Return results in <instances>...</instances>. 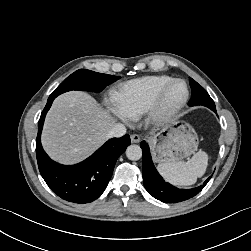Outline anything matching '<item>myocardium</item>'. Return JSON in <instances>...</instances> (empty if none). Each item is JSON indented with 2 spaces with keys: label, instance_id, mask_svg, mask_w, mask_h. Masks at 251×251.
<instances>
[{
  "label": "myocardium",
  "instance_id": "obj_1",
  "mask_svg": "<svg viewBox=\"0 0 251 251\" xmlns=\"http://www.w3.org/2000/svg\"><path fill=\"white\" fill-rule=\"evenodd\" d=\"M177 83L183 84L185 88L184 97L177 104L167 106L165 96L168 90ZM190 95L189 86L185 80L175 78L163 85L154 97V100L147 110L148 121L153 125L164 124L173 119L186 105Z\"/></svg>",
  "mask_w": 251,
  "mask_h": 251
}]
</instances>
